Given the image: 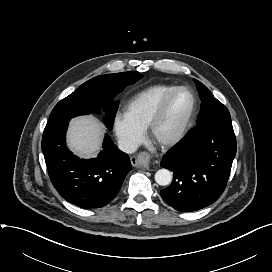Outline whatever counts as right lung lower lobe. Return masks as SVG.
<instances>
[{"label": "right lung lower lobe", "mask_w": 272, "mask_h": 272, "mask_svg": "<svg viewBox=\"0 0 272 272\" xmlns=\"http://www.w3.org/2000/svg\"><path fill=\"white\" fill-rule=\"evenodd\" d=\"M70 119L46 125L42 151L50 180L58 193L81 208H99L118 193L132 169L129 156L120 151L106 135L97 158L80 159L65 144Z\"/></svg>", "instance_id": "obj_1"}]
</instances>
